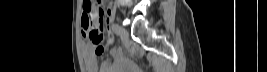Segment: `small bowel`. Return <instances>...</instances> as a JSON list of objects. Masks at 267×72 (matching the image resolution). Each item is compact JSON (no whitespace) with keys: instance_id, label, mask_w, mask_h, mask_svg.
<instances>
[{"instance_id":"small-bowel-1","label":"small bowel","mask_w":267,"mask_h":72,"mask_svg":"<svg viewBox=\"0 0 267 72\" xmlns=\"http://www.w3.org/2000/svg\"><path fill=\"white\" fill-rule=\"evenodd\" d=\"M111 42V41H110ZM106 50V47H104L103 51ZM96 48L92 46L91 44H85L83 47V55H84V61L86 68L88 72H114L115 69L113 66H111V63L104 62L100 67L97 62L96 58ZM112 55L114 57H119L120 54L117 51H112Z\"/></svg>"}]
</instances>
